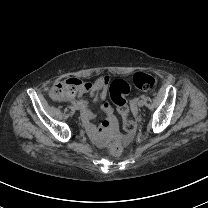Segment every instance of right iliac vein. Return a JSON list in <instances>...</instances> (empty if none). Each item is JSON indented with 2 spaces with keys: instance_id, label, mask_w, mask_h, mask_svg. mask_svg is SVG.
<instances>
[{
  "instance_id": "obj_1",
  "label": "right iliac vein",
  "mask_w": 208,
  "mask_h": 208,
  "mask_svg": "<svg viewBox=\"0 0 208 208\" xmlns=\"http://www.w3.org/2000/svg\"><path fill=\"white\" fill-rule=\"evenodd\" d=\"M74 108H75L76 110H79V109H80V106H79L78 104H76V105L74 106Z\"/></svg>"
}]
</instances>
